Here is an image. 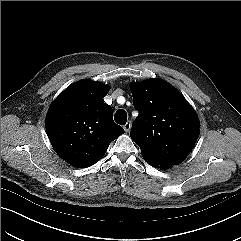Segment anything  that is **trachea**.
I'll return each instance as SVG.
<instances>
[{
    "label": "trachea",
    "mask_w": 241,
    "mask_h": 241,
    "mask_svg": "<svg viewBox=\"0 0 241 241\" xmlns=\"http://www.w3.org/2000/svg\"><path fill=\"white\" fill-rule=\"evenodd\" d=\"M115 122L124 125L127 121V113L123 109H119L114 115Z\"/></svg>",
    "instance_id": "3493384b"
}]
</instances>
